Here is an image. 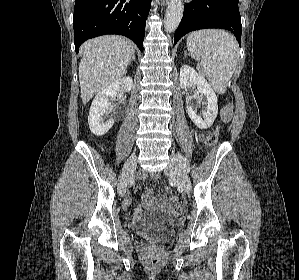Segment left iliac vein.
I'll return each mask as SVG.
<instances>
[{
	"mask_svg": "<svg viewBox=\"0 0 299 280\" xmlns=\"http://www.w3.org/2000/svg\"><path fill=\"white\" fill-rule=\"evenodd\" d=\"M164 172L171 176L177 178V180L181 183L184 191L186 193H190L191 191V181L187 173L178 165L177 161L172 158L170 159L168 166L165 168Z\"/></svg>",
	"mask_w": 299,
	"mask_h": 280,
	"instance_id": "left-iliac-vein-1",
	"label": "left iliac vein"
}]
</instances>
